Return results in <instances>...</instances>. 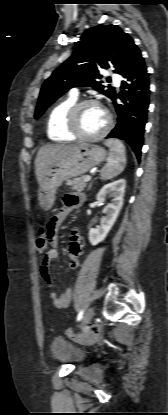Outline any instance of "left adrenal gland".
<instances>
[{"instance_id":"left-adrenal-gland-1","label":"left adrenal gland","mask_w":168,"mask_h":415,"mask_svg":"<svg viewBox=\"0 0 168 415\" xmlns=\"http://www.w3.org/2000/svg\"><path fill=\"white\" fill-rule=\"evenodd\" d=\"M91 186H92V184H90V185H89L88 189H90V188H91Z\"/></svg>"}]
</instances>
